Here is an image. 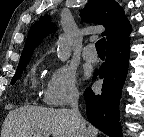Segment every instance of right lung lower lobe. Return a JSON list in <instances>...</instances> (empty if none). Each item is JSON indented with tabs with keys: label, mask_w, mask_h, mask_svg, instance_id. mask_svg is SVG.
Listing matches in <instances>:
<instances>
[{
	"label": "right lung lower lobe",
	"mask_w": 144,
	"mask_h": 137,
	"mask_svg": "<svg viewBox=\"0 0 144 137\" xmlns=\"http://www.w3.org/2000/svg\"><path fill=\"white\" fill-rule=\"evenodd\" d=\"M107 58L97 74L104 80L102 92L86 89V111L89 121L110 137H121L119 100L129 61V39L106 50Z\"/></svg>",
	"instance_id": "right-lung-lower-lobe-1"
}]
</instances>
